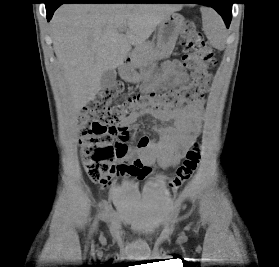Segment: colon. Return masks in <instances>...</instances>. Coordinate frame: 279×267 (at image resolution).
Here are the masks:
<instances>
[{
  "label": "colon",
  "mask_w": 279,
  "mask_h": 267,
  "mask_svg": "<svg viewBox=\"0 0 279 267\" xmlns=\"http://www.w3.org/2000/svg\"><path fill=\"white\" fill-rule=\"evenodd\" d=\"M181 44L185 49L184 66L191 71L188 83L162 92L132 95L121 101L117 100L123 94L124 86L116 83L102 90L89 106L81 110V154L84 167L93 181L101 182L109 176L135 175L142 171L139 161L124 160L129 138L126 120L131 114L145 109H181L198 100L204 93L210 80L206 68L215 63L213 50L192 21L183 24ZM114 136L118 137V141L112 143ZM200 159L201 150L195 144L169 182L171 192H176L192 177Z\"/></svg>",
  "instance_id": "1"
}]
</instances>
